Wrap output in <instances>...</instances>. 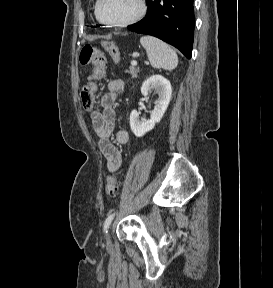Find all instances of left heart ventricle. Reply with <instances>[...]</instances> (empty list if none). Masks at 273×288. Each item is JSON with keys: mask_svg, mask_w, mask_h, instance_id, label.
Wrapping results in <instances>:
<instances>
[{"mask_svg": "<svg viewBox=\"0 0 273 288\" xmlns=\"http://www.w3.org/2000/svg\"><path fill=\"white\" fill-rule=\"evenodd\" d=\"M138 8V0H103L100 14L108 22H117L132 17Z\"/></svg>", "mask_w": 273, "mask_h": 288, "instance_id": "left-heart-ventricle-1", "label": "left heart ventricle"}]
</instances>
